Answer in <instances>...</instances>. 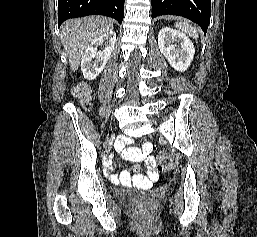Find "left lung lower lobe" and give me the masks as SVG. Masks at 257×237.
Instances as JSON below:
<instances>
[{
	"mask_svg": "<svg viewBox=\"0 0 257 237\" xmlns=\"http://www.w3.org/2000/svg\"><path fill=\"white\" fill-rule=\"evenodd\" d=\"M152 18L178 15L197 23L207 32L211 16V0H151Z\"/></svg>",
	"mask_w": 257,
	"mask_h": 237,
	"instance_id": "0a47b994",
	"label": "left lung lower lobe"
}]
</instances>
